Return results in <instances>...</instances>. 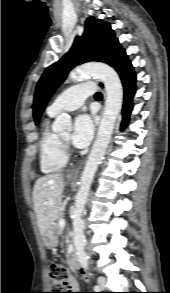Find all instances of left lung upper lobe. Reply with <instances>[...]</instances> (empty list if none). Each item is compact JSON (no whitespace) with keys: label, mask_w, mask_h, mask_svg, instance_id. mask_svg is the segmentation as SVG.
I'll return each instance as SVG.
<instances>
[{"label":"left lung upper lobe","mask_w":170,"mask_h":293,"mask_svg":"<svg viewBox=\"0 0 170 293\" xmlns=\"http://www.w3.org/2000/svg\"><path fill=\"white\" fill-rule=\"evenodd\" d=\"M122 52L124 49L115 38L110 24L89 17L85 22L82 36L76 37L70 51L63 58L45 70L37 84L33 103L36 124L40 120L48 99L74 66L89 61L112 65Z\"/></svg>","instance_id":"left-lung-upper-lobe-1"}]
</instances>
